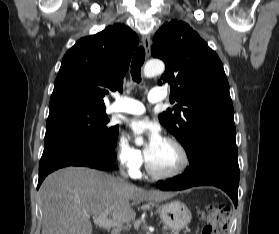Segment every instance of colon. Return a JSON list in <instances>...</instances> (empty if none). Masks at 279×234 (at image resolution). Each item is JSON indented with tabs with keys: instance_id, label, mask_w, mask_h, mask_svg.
I'll list each match as a JSON object with an SVG mask.
<instances>
[{
	"instance_id": "colon-1",
	"label": "colon",
	"mask_w": 279,
	"mask_h": 234,
	"mask_svg": "<svg viewBox=\"0 0 279 234\" xmlns=\"http://www.w3.org/2000/svg\"><path fill=\"white\" fill-rule=\"evenodd\" d=\"M229 208L221 200L206 206L202 211L205 221L202 234H226Z\"/></svg>"
}]
</instances>
